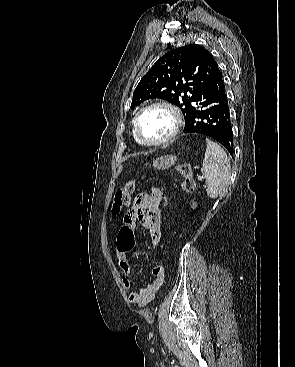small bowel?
Instances as JSON below:
<instances>
[{
	"mask_svg": "<svg viewBox=\"0 0 295 367\" xmlns=\"http://www.w3.org/2000/svg\"><path fill=\"white\" fill-rule=\"evenodd\" d=\"M161 190L154 188L150 192H142L134 199L132 208L124 217V226H128L134 236L135 224L139 222L149 233L151 241L154 246H159L161 242V198L163 197ZM131 247H123L120 243V234L116 242V257L118 265L124 273L122 279L123 287L127 290L132 288V282L129 279L131 272V265L128 259V252ZM154 281L143 287L132 291L129 295L130 302L144 307L152 302L155 298L156 292L164 284L165 269L161 265H157L152 269Z\"/></svg>",
	"mask_w": 295,
	"mask_h": 367,
	"instance_id": "small-bowel-1",
	"label": "small bowel"
}]
</instances>
